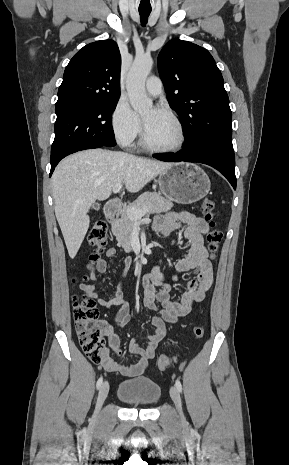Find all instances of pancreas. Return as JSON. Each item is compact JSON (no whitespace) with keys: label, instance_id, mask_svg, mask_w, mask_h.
<instances>
[{"label":"pancreas","instance_id":"cf45deb5","mask_svg":"<svg viewBox=\"0 0 289 465\" xmlns=\"http://www.w3.org/2000/svg\"><path fill=\"white\" fill-rule=\"evenodd\" d=\"M173 203L160 196L158 193L147 192L141 195L135 202L128 205L121 211V217L112 225V233L118 241V245L124 248L126 252L131 251L132 232L136 222L128 216L127 209L135 208L137 210L148 209L147 215L162 213L171 210Z\"/></svg>","mask_w":289,"mask_h":465}]
</instances>
